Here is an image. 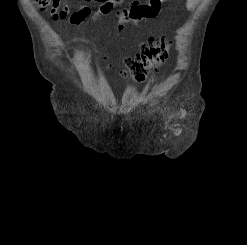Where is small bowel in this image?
<instances>
[{
	"label": "small bowel",
	"mask_w": 247,
	"mask_h": 245,
	"mask_svg": "<svg viewBox=\"0 0 247 245\" xmlns=\"http://www.w3.org/2000/svg\"><path fill=\"white\" fill-rule=\"evenodd\" d=\"M84 1L88 3L91 0ZM164 1L165 0H149L146 4L133 3L128 9H124L121 12L118 28L121 29L123 23L127 21H138L156 17ZM199 2L200 0H186V6L189 10H195ZM51 12L56 20L69 18L70 23L78 25L90 15L91 8L87 5H81L78 10L70 13L66 0H52Z\"/></svg>",
	"instance_id": "small-bowel-1"
}]
</instances>
